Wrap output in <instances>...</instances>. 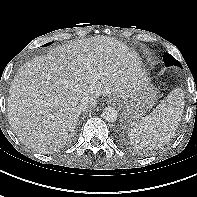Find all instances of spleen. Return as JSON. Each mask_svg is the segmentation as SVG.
Returning a JSON list of instances; mask_svg holds the SVG:
<instances>
[{"mask_svg": "<svg viewBox=\"0 0 197 197\" xmlns=\"http://www.w3.org/2000/svg\"><path fill=\"white\" fill-rule=\"evenodd\" d=\"M185 101L181 88L172 90L147 116L128 126V136L136 148L152 150L168 143L181 121Z\"/></svg>", "mask_w": 197, "mask_h": 197, "instance_id": "1", "label": "spleen"}]
</instances>
